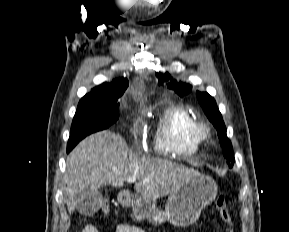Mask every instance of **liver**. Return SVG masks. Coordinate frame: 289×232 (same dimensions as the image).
Returning a JSON list of instances; mask_svg holds the SVG:
<instances>
[{"instance_id": "liver-1", "label": "liver", "mask_w": 289, "mask_h": 232, "mask_svg": "<svg viewBox=\"0 0 289 232\" xmlns=\"http://www.w3.org/2000/svg\"><path fill=\"white\" fill-rule=\"evenodd\" d=\"M128 151L120 135L105 130L88 136L70 152L65 172L70 214L77 208L79 195L87 190L106 185L123 187L129 177H136V193L155 200L172 194L196 173L165 159L128 157Z\"/></svg>"}]
</instances>
